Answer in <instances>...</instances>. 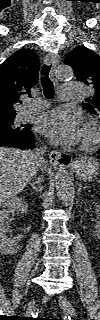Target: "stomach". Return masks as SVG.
<instances>
[{
    "mask_svg": "<svg viewBox=\"0 0 100 320\" xmlns=\"http://www.w3.org/2000/svg\"><path fill=\"white\" fill-rule=\"evenodd\" d=\"M72 169L77 179L91 181L100 172V162L96 158L85 156L75 161Z\"/></svg>",
    "mask_w": 100,
    "mask_h": 320,
    "instance_id": "obj_1",
    "label": "stomach"
}]
</instances>
